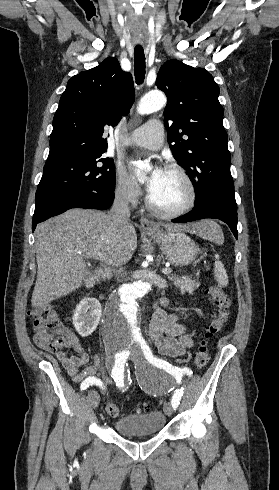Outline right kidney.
I'll return each mask as SVG.
<instances>
[{
	"instance_id": "right-kidney-1",
	"label": "right kidney",
	"mask_w": 279,
	"mask_h": 490,
	"mask_svg": "<svg viewBox=\"0 0 279 490\" xmlns=\"http://www.w3.org/2000/svg\"><path fill=\"white\" fill-rule=\"evenodd\" d=\"M101 312V304L95 298H84L77 304L72 320L79 336L87 338L95 332L102 316Z\"/></svg>"
}]
</instances>
